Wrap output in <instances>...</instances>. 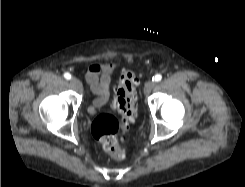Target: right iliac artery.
Masks as SVG:
<instances>
[{
    "label": "right iliac artery",
    "mask_w": 245,
    "mask_h": 187,
    "mask_svg": "<svg viewBox=\"0 0 245 187\" xmlns=\"http://www.w3.org/2000/svg\"><path fill=\"white\" fill-rule=\"evenodd\" d=\"M64 77H65L67 80L71 79L70 73H65V74H64Z\"/></svg>",
    "instance_id": "82829eb1"
}]
</instances>
